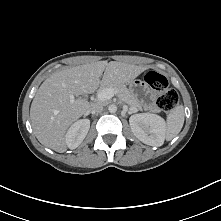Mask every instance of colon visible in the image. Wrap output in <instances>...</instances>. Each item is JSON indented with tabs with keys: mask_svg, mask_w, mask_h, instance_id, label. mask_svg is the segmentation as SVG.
I'll use <instances>...</instances> for the list:
<instances>
[{
	"mask_svg": "<svg viewBox=\"0 0 221 221\" xmlns=\"http://www.w3.org/2000/svg\"><path fill=\"white\" fill-rule=\"evenodd\" d=\"M145 82L158 94L157 105L165 112L172 111L178 104L179 95L169 87L168 80L162 74L150 71L145 76Z\"/></svg>",
	"mask_w": 221,
	"mask_h": 221,
	"instance_id": "5ec220e1",
	"label": "colon"
}]
</instances>
